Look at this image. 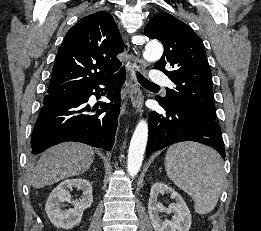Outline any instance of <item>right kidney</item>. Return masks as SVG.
Instances as JSON below:
<instances>
[{
	"instance_id": "ca27d5eb",
	"label": "right kidney",
	"mask_w": 261,
	"mask_h": 231,
	"mask_svg": "<svg viewBox=\"0 0 261 231\" xmlns=\"http://www.w3.org/2000/svg\"><path fill=\"white\" fill-rule=\"evenodd\" d=\"M76 187L83 191L79 200L72 201L68 189ZM63 202L74 205V208L63 210ZM92 185L82 178L67 179L61 182L50 193L45 205V210L50 222L57 228L71 229L81 222L83 211L92 205Z\"/></svg>"
}]
</instances>
